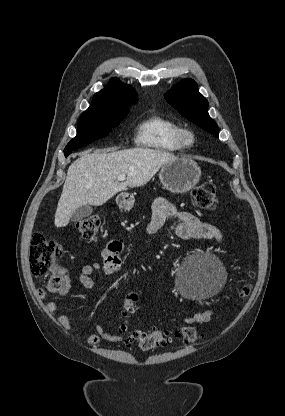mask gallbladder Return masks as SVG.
<instances>
[{"instance_id": "bac80fb5", "label": "gallbladder", "mask_w": 285, "mask_h": 416, "mask_svg": "<svg viewBox=\"0 0 285 416\" xmlns=\"http://www.w3.org/2000/svg\"><path fill=\"white\" fill-rule=\"evenodd\" d=\"M93 212L92 206H82V208H77L75 210L73 216H71L72 222H81L83 218H87V216H91Z\"/></svg>"}]
</instances>
